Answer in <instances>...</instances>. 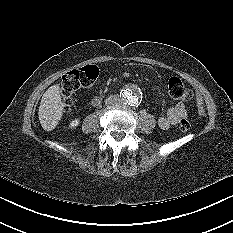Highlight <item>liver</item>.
<instances>
[{
  "mask_svg": "<svg viewBox=\"0 0 233 233\" xmlns=\"http://www.w3.org/2000/svg\"><path fill=\"white\" fill-rule=\"evenodd\" d=\"M64 112V103L60 95L58 84L50 86L43 94L39 106V120L45 131H52L61 120Z\"/></svg>",
  "mask_w": 233,
  "mask_h": 233,
  "instance_id": "6515ba94",
  "label": "liver"
}]
</instances>
